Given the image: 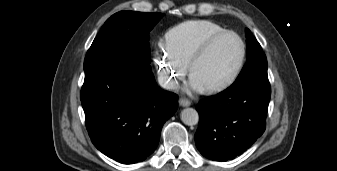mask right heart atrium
<instances>
[{
  "label": "right heart atrium",
  "instance_id": "obj_1",
  "mask_svg": "<svg viewBox=\"0 0 337 171\" xmlns=\"http://www.w3.org/2000/svg\"><path fill=\"white\" fill-rule=\"evenodd\" d=\"M155 63L161 81L169 87L176 86L187 72V65L174 56L165 43L158 44L155 50Z\"/></svg>",
  "mask_w": 337,
  "mask_h": 171
}]
</instances>
